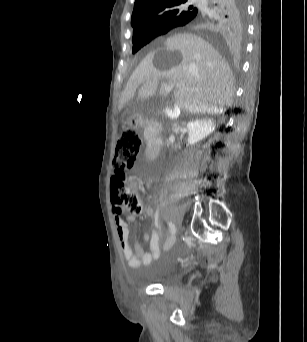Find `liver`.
<instances>
[{
	"mask_svg": "<svg viewBox=\"0 0 307 342\" xmlns=\"http://www.w3.org/2000/svg\"><path fill=\"white\" fill-rule=\"evenodd\" d=\"M175 84L179 108L190 114H222L232 104V72L217 50L195 34H175L144 56L131 74L119 100L118 110L137 92L140 100L155 96L158 80Z\"/></svg>",
	"mask_w": 307,
	"mask_h": 342,
	"instance_id": "6515ba94",
	"label": "liver"
}]
</instances>
